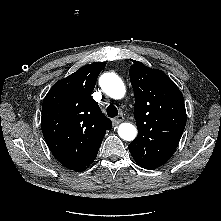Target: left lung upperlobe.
<instances>
[{"mask_svg":"<svg viewBox=\"0 0 221 221\" xmlns=\"http://www.w3.org/2000/svg\"><path fill=\"white\" fill-rule=\"evenodd\" d=\"M137 138L130 143L134 160L146 169L162 166L174 154L186 125L181 91L162 71L131 60Z\"/></svg>","mask_w":221,"mask_h":221,"instance_id":"1","label":"left lung upper lobe"}]
</instances>
